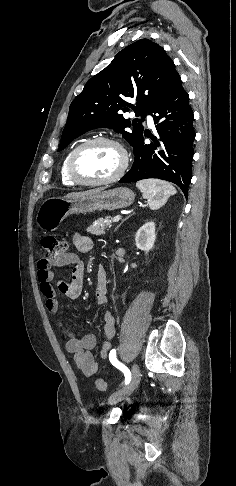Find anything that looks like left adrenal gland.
<instances>
[{
  "label": "left adrenal gland",
  "instance_id": "a2214340",
  "mask_svg": "<svg viewBox=\"0 0 236 486\" xmlns=\"http://www.w3.org/2000/svg\"><path fill=\"white\" fill-rule=\"evenodd\" d=\"M122 223H123V222H122ZM122 223H120V224H119V225L116 227V229H115V230H117V229H118V228L121 226V224H122Z\"/></svg>",
  "mask_w": 236,
  "mask_h": 486
}]
</instances>
